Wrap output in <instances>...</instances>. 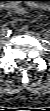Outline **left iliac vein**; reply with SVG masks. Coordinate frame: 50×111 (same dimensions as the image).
Wrapping results in <instances>:
<instances>
[{
	"mask_svg": "<svg viewBox=\"0 0 50 111\" xmlns=\"http://www.w3.org/2000/svg\"><path fill=\"white\" fill-rule=\"evenodd\" d=\"M27 34L32 36V37H35L39 41H42V38L37 33H35L34 31H27ZM43 45L45 47V44H43Z\"/></svg>",
	"mask_w": 50,
	"mask_h": 111,
	"instance_id": "4c4485c4",
	"label": "left iliac vein"
}]
</instances>
